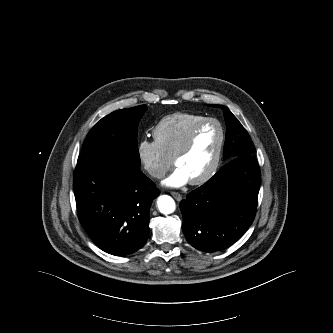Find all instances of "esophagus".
Wrapping results in <instances>:
<instances>
[{"mask_svg":"<svg viewBox=\"0 0 333 333\" xmlns=\"http://www.w3.org/2000/svg\"><path fill=\"white\" fill-rule=\"evenodd\" d=\"M171 195L177 200V201H181L182 200V196L177 193V192H172Z\"/></svg>","mask_w":333,"mask_h":333,"instance_id":"34e87169","label":"esophagus"}]
</instances>
